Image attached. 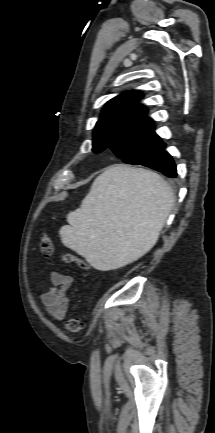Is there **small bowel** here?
<instances>
[{
  "instance_id": "obj_1",
  "label": "small bowel",
  "mask_w": 215,
  "mask_h": 433,
  "mask_svg": "<svg viewBox=\"0 0 215 433\" xmlns=\"http://www.w3.org/2000/svg\"><path fill=\"white\" fill-rule=\"evenodd\" d=\"M50 281L51 287L41 295V302L53 321H61L67 314L66 293L72 285L73 278L68 274L51 271Z\"/></svg>"
}]
</instances>
